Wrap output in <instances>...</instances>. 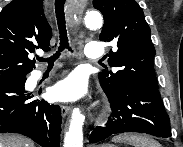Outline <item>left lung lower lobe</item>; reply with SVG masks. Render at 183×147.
<instances>
[{
  "instance_id": "obj_1",
  "label": "left lung lower lobe",
  "mask_w": 183,
  "mask_h": 147,
  "mask_svg": "<svg viewBox=\"0 0 183 147\" xmlns=\"http://www.w3.org/2000/svg\"><path fill=\"white\" fill-rule=\"evenodd\" d=\"M105 93L112 116L106 127L93 129L90 142H99L112 134L124 132H141L163 138L171 136L170 120L158 89L126 85L115 94Z\"/></svg>"
}]
</instances>
